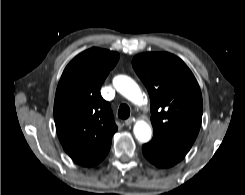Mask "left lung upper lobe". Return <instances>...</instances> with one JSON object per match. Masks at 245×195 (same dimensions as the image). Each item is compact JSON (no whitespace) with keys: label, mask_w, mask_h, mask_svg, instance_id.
I'll return each mask as SVG.
<instances>
[{"label":"left lung upper lobe","mask_w":245,"mask_h":195,"mask_svg":"<svg viewBox=\"0 0 245 195\" xmlns=\"http://www.w3.org/2000/svg\"><path fill=\"white\" fill-rule=\"evenodd\" d=\"M132 65L151 100L154 133L192 145L202 121V95L187 65L167 52L135 56Z\"/></svg>","instance_id":"obj_1"}]
</instances>
